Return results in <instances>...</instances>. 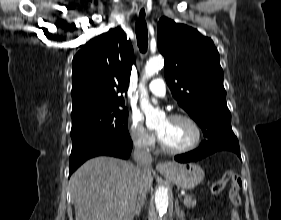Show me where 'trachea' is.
I'll return each instance as SVG.
<instances>
[{"mask_svg": "<svg viewBox=\"0 0 281 220\" xmlns=\"http://www.w3.org/2000/svg\"><path fill=\"white\" fill-rule=\"evenodd\" d=\"M137 43L142 53L147 51L148 47V31L147 25L144 20H138L135 25Z\"/></svg>", "mask_w": 281, "mask_h": 220, "instance_id": "1", "label": "trachea"}]
</instances>
